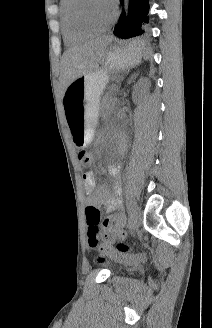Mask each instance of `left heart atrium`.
Returning a JSON list of instances; mask_svg holds the SVG:
<instances>
[{"mask_svg":"<svg viewBox=\"0 0 212 328\" xmlns=\"http://www.w3.org/2000/svg\"><path fill=\"white\" fill-rule=\"evenodd\" d=\"M107 1L109 4H111L114 7L116 0H107Z\"/></svg>","mask_w":212,"mask_h":328,"instance_id":"obj_1","label":"left heart atrium"}]
</instances>
